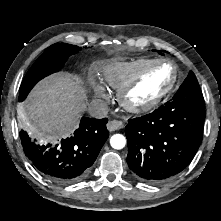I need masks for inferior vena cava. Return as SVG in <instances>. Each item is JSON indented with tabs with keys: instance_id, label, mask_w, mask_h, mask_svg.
Returning a JSON list of instances; mask_svg holds the SVG:
<instances>
[{
	"instance_id": "inferior-vena-cava-1",
	"label": "inferior vena cava",
	"mask_w": 221,
	"mask_h": 221,
	"mask_svg": "<svg viewBox=\"0 0 221 221\" xmlns=\"http://www.w3.org/2000/svg\"><path fill=\"white\" fill-rule=\"evenodd\" d=\"M88 112L94 118H104L108 114V105L103 100L93 99L88 105Z\"/></svg>"
}]
</instances>
